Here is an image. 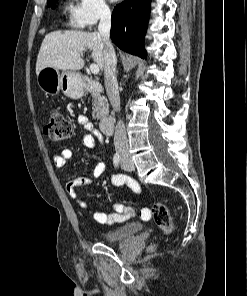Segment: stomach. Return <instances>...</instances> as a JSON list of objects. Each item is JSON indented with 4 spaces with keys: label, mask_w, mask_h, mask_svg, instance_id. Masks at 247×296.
Returning a JSON list of instances; mask_svg holds the SVG:
<instances>
[{
    "label": "stomach",
    "mask_w": 247,
    "mask_h": 296,
    "mask_svg": "<svg viewBox=\"0 0 247 296\" xmlns=\"http://www.w3.org/2000/svg\"><path fill=\"white\" fill-rule=\"evenodd\" d=\"M39 88L48 95H56L60 90L72 99L82 97L84 90L78 74L45 67L37 74Z\"/></svg>",
    "instance_id": "obj_1"
}]
</instances>
